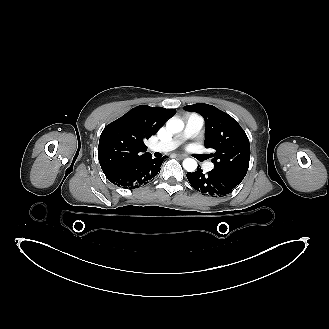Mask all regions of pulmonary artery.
I'll use <instances>...</instances> for the list:
<instances>
[{
	"label": "pulmonary artery",
	"instance_id": "e3ab8cb5",
	"mask_svg": "<svg viewBox=\"0 0 329 329\" xmlns=\"http://www.w3.org/2000/svg\"><path fill=\"white\" fill-rule=\"evenodd\" d=\"M203 125L204 119L202 116L198 114H191L186 121L183 132L180 135L176 136L173 139L157 142L152 146V149L158 152L171 151L177 148L183 141L195 137L199 133ZM205 169L207 171H211L213 169V164L207 163L205 165Z\"/></svg>",
	"mask_w": 329,
	"mask_h": 329
}]
</instances>
